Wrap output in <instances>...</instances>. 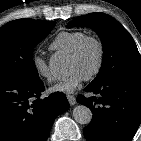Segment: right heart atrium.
<instances>
[{
  "label": "right heart atrium",
  "mask_w": 141,
  "mask_h": 141,
  "mask_svg": "<svg viewBox=\"0 0 141 141\" xmlns=\"http://www.w3.org/2000/svg\"><path fill=\"white\" fill-rule=\"evenodd\" d=\"M31 61L32 66L39 77L43 78L47 82H51L53 80L48 61L45 57L40 54H34Z\"/></svg>",
  "instance_id": "d8ad5b80"
}]
</instances>
